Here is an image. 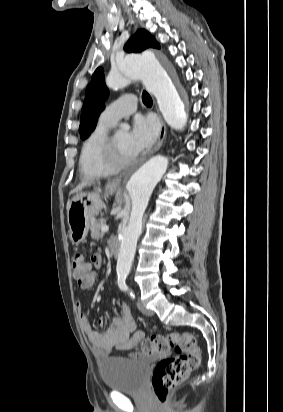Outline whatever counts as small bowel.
<instances>
[{
    "label": "small bowel",
    "instance_id": "small-bowel-1",
    "mask_svg": "<svg viewBox=\"0 0 283 412\" xmlns=\"http://www.w3.org/2000/svg\"><path fill=\"white\" fill-rule=\"evenodd\" d=\"M98 259L96 269L100 267L101 258L98 254L93 255ZM96 282L95 273H91L89 278L79 285L84 289L91 288ZM75 307L78 311V320L82 331L87 336L93 347L94 354L99 357H105L113 351H128L138 345L144 338L142 331H136V323L133 319L129 307L122 303L120 305V315L111 319L107 325L104 318H99L97 324L104 327V331L99 332L93 329L87 315L82 311L81 301H76ZM135 332L133 337L130 335ZM142 356H144L142 354Z\"/></svg>",
    "mask_w": 283,
    "mask_h": 412
}]
</instances>
